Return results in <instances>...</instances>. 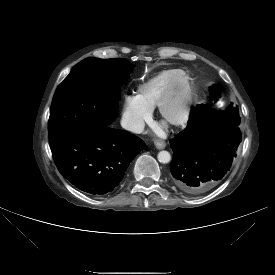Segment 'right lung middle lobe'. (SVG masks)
I'll return each mask as SVG.
<instances>
[{
	"label": "right lung middle lobe",
	"instance_id": "dd1d6c3e",
	"mask_svg": "<svg viewBox=\"0 0 275 275\" xmlns=\"http://www.w3.org/2000/svg\"><path fill=\"white\" fill-rule=\"evenodd\" d=\"M133 68L123 58H87L75 65L53 97L49 137L76 128L110 125L117 117L120 100L115 87L126 81Z\"/></svg>",
	"mask_w": 275,
	"mask_h": 275
}]
</instances>
